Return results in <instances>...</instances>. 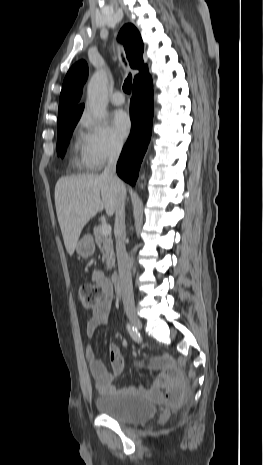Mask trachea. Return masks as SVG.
Returning a JSON list of instances; mask_svg holds the SVG:
<instances>
[{
    "label": "trachea",
    "mask_w": 263,
    "mask_h": 465,
    "mask_svg": "<svg viewBox=\"0 0 263 465\" xmlns=\"http://www.w3.org/2000/svg\"><path fill=\"white\" fill-rule=\"evenodd\" d=\"M131 86H132V75L129 74L126 80L124 81L123 91L129 94L131 92Z\"/></svg>",
    "instance_id": "1"
}]
</instances>
